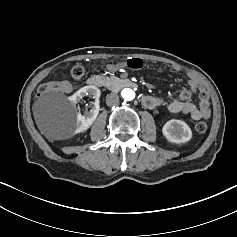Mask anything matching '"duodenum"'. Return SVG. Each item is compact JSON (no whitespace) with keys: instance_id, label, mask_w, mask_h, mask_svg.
Wrapping results in <instances>:
<instances>
[{"instance_id":"duodenum-1","label":"duodenum","mask_w":237,"mask_h":237,"mask_svg":"<svg viewBox=\"0 0 237 237\" xmlns=\"http://www.w3.org/2000/svg\"><path fill=\"white\" fill-rule=\"evenodd\" d=\"M87 83L89 86L92 87H103L104 85H106L107 80L102 76L94 75L88 79ZM118 83L119 85L124 87H131V88L136 87V83L130 79H122Z\"/></svg>"}]
</instances>
